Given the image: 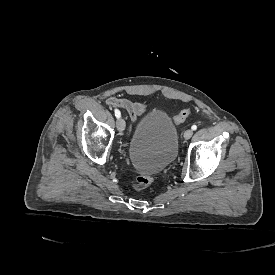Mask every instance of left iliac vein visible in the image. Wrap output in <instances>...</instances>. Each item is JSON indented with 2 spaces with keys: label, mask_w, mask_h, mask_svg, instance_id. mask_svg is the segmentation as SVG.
I'll return each instance as SVG.
<instances>
[{
  "label": "left iliac vein",
  "mask_w": 275,
  "mask_h": 275,
  "mask_svg": "<svg viewBox=\"0 0 275 275\" xmlns=\"http://www.w3.org/2000/svg\"><path fill=\"white\" fill-rule=\"evenodd\" d=\"M192 135H193V130L188 129V130L184 133V138H185V139H190Z\"/></svg>",
  "instance_id": "obj_1"
}]
</instances>
